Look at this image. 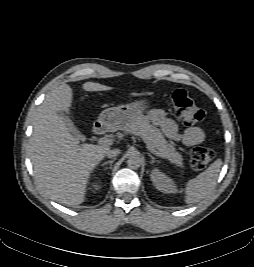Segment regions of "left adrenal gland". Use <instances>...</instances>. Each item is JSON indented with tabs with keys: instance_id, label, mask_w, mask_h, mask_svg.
I'll use <instances>...</instances> for the list:
<instances>
[{
	"instance_id": "obj_1",
	"label": "left adrenal gland",
	"mask_w": 254,
	"mask_h": 267,
	"mask_svg": "<svg viewBox=\"0 0 254 267\" xmlns=\"http://www.w3.org/2000/svg\"><path fill=\"white\" fill-rule=\"evenodd\" d=\"M148 156L151 158V162H150L151 164L155 162H159L158 160L155 159V157L152 154L148 153Z\"/></svg>"
}]
</instances>
